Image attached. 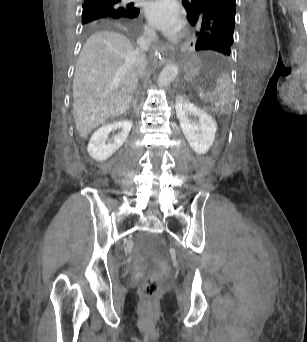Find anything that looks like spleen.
<instances>
[{"instance_id": "3e777b00", "label": "spleen", "mask_w": 307, "mask_h": 342, "mask_svg": "<svg viewBox=\"0 0 307 342\" xmlns=\"http://www.w3.org/2000/svg\"><path fill=\"white\" fill-rule=\"evenodd\" d=\"M211 96H213L214 104L218 106L216 108L217 114H233L234 88L228 74H224V72L219 74L215 90H213Z\"/></svg>"}]
</instances>
